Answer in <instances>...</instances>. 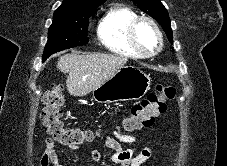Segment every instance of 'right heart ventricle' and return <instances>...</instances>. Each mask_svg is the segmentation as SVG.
I'll return each instance as SVG.
<instances>
[{
    "instance_id": "obj_1",
    "label": "right heart ventricle",
    "mask_w": 227,
    "mask_h": 166,
    "mask_svg": "<svg viewBox=\"0 0 227 166\" xmlns=\"http://www.w3.org/2000/svg\"><path fill=\"white\" fill-rule=\"evenodd\" d=\"M137 16L132 9L125 5L111 6L97 25V37L104 48L123 56L142 57L132 48L127 36L128 26Z\"/></svg>"
}]
</instances>
